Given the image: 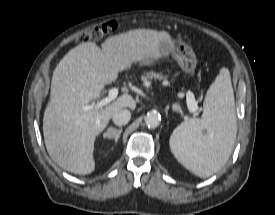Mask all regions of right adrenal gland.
Returning <instances> with one entry per match:
<instances>
[{
	"label": "right adrenal gland",
	"mask_w": 275,
	"mask_h": 215,
	"mask_svg": "<svg viewBox=\"0 0 275 215\" xmlns=\"http://www.w3.org/2000/svg\"><path fill=\"white\" fill-rule=\"evenodd\" d=\"M123 132V129L120 128L119 130L110 127L108 131L103 135L104 139H115V143H117L118 139L120 138L121 133Z\"/></svg>",
	"instance_id": "obj_1"
}]
</instances>
